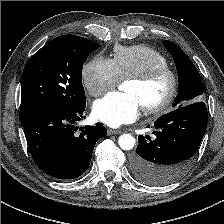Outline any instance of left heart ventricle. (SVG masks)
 <instances>
[{
    "mask_svg": "<svg viewBox=\"0 0 224 224\" xmlns=\"http://www.w3.org/2000/svg\"><path fill=\"white\" fill-rule=\"evenodd\" d=\"M168 88L169 80L167 76L159 77L148 84L127 81L123 86L126 92L139 98L142 107L160 101L167 93Z\"/></svg>",
    "mask_w": 224,
    "mask_h": 224,
    "instance_id": "b2bd125f",
    "label": "left heart ventricle"
}]
</instances>
